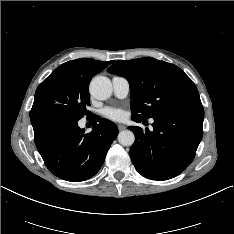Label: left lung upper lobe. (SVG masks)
Segmentation results:
<instances>
[{"instance_id":"5c2ea615","label":"left lung upper lobe","mask_w":234,"mask_h":234,"mask_svg":"<svg viewBox=\"0 0 234 234\" xmlns=\"http://www.w3.org/2000/svg\"><path fill=\"white\" fill-rule=\"evenodd\" d=\"M108 72L130 85L132 118L147 119L201 103L192 80L179 67L151 57L116 61Z\"/></svg>"}]
</instances>
